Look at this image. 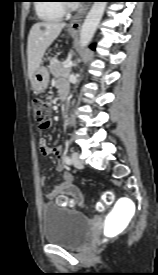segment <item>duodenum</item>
I'll list each match as a JSON object with an SVG mask.
<instances>
[{
  "label": "duodenum",
  "instance_id": "obj_1",
  "mask_svg": "<svg viewBox=\"0 0 158 275\" xmlns=\"http://www.w3.org/2000/svg\"><path fill=\"white\" fill-rule=\"evenodd\" d=\"M68 92H69V87H63L62 89H60L59 95L61 98H65L67 97Z\"/></svg>",
  "mask_w": 158,
  "mask_h": 275
}]
</instances>
